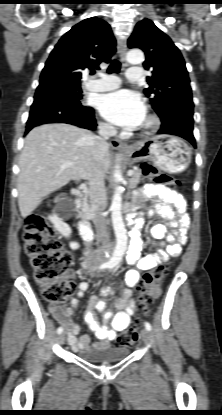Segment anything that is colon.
I'll use <instances>...</instances> for the list:
<instances>
[{
  "instance_id": "obj_1",
  "label": "colon",
  "mask_w": 222,
  "mask_h": 415,
  "mask_svg": "<svg viewBox=\"0 0 222 415\" xmlns=\"http://www.w3.org/2000/svg\"><path fill=\"white\" fill-rule=\"evenodd\" d=\"M145 176L156 184L176 188L179 181L155 167L144 165ZM25 252L34 270V277L42 288L43 297L52 304H62L72 294L74 285L64 278L71 265V255L63 250L56 230L51 227L45 214L38 212L28 215L24 226ZM167 272L163 264L144 273L139 283L138 310L147 315L150 304L159 296L158 286ZM139 337V326H135L119 337L120 345H131Z\"/></svg>"
}]
</instances>
